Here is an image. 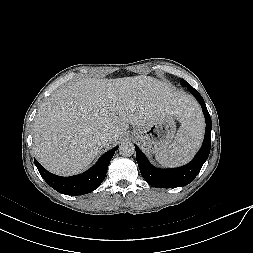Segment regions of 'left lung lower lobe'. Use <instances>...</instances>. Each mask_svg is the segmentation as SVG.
I'll use <instances>...</instances> for the list:
<instances>
[{
  "instance_id": "0a47b994",
  "label": "left lung lower lobe",
  "mask_w": 253,
  "mask_h": 253,
  "mask_svg": "<svg viewBox=\"0 0 253 253\" xmlns=\"http://www.w3.org/2000/svg\"><path fill=\"white\" fill-rule=\"evenodd\" d=\"M187 88L200 103L206 121L204 141L201 149L196 154L194 159L187 165L179 168L160 170L153 167L141 150L135 145L136 159L143 178L150 185L157 188H174L189 184L200 172L210 153L212 129L211 117L199 92L190 84L187 86Z\"/></svg>"
}]
</instances>
